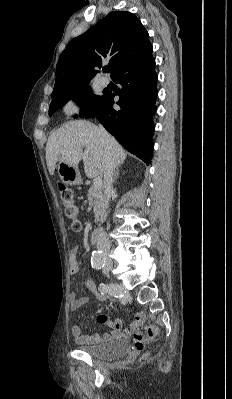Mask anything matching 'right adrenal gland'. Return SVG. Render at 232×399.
I'll return each mask as SVG.
<instances>
[{
  "instance_id": "obj_1",
  "label": "right adrenal gland",
  "mask_w": 232,
  "mask_h": 399,
  "mask_svg": "<svg viewBox=\"0 0 232 399\" xmlns=\"http://www.w3.org/2000/svg\"><path fill=\"white\" fill-rule=\"evenodd\" d=\"M119 176V168H116V172H114L113 174V180H112V184H116V180Z\"/></svg>"
}]
</instances>
